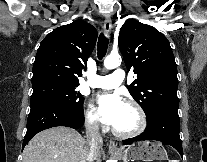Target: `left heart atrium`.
<instances>
[{"label":"left heart atrium","mask_w":207,"mask_h":162,"mask_svg":"<svg viewBox=\"0 0 207 162\" xmlns=\"http://www.w3.org/2000/svg\"><path fill=\"white\" fill-rule=\"evenodd\" d=\"M123 104L121 97L116 93L99 96L97 105L102 121L113 126Z\"/></svg>","instance_id":"left-heart-atrium-1"}]
</instances>
